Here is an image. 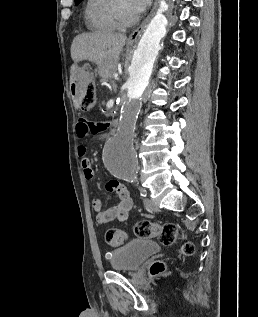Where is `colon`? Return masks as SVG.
I'll use <instances>...</instances> for the list:
<instances>
[{
    "mask_svg": "<svg viewBox=\"0 0 258 317\" xmlns=\"http://www.w3.org/2000/svg\"><path fill=\"white\" fill-rule=\"evenodd\" d=\"M81 106L90 109L94 106L96 100V87L93 80H90L81 87ZM134 234L141 239L157 238L166 246L174 244L179 237V230L176 224L168 222L164 224L153 223L150 221H140L134 227ZM106 242L112 247L123 245L127 239V234L116 228L107 231ZM184 255H191L194 252V245L191 242H185L181 247ZM165 270V264L157 261L151 265L152 275H158Z\"/></svg>",
    "mask_w": 258,
    "mask_h": 317,
    "instance_id": "1",
    "label": "colon"
}]
</instances>
